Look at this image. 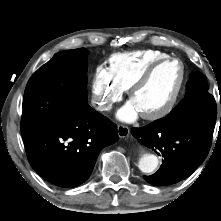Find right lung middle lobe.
I'll return each mask as SVG.
<instances>
[{
	"instance_id": "dd1d6c3e",
	"label": "right lung middle lobe",
	"mask_w": 221,
	"mask_h": 221,
	"mask_svg": "<svg viewBox=\"0 0 221 221\" xmlns=\"http://www.w3.org/2000/svg\"><path fill=\"white\" fill-rule=\"evenodd\" d=\"M85 48L62 51L40 67L27 83L22 134L62 123L87 104Z\"/></svg>"
}]
</instances>
